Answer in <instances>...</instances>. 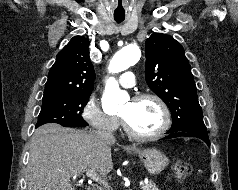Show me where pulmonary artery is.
Listing matches in <instances>:
<instances>
[{"instance_id": "1", "label": "pulmonary artery", "mask_w": 238, "mask_h": 190, "mask_svg": "<svg viewBox=\"0 0 238 190\" xmlns=\"http://www.w3.org/2000/svg\"><path fill=\"white\" fill-rule=\"evenodd\" d=\"M119 84L124 88H131L135 85V75L131 71L123 73L119 78Z\"/></svg>"}]
</instances>
